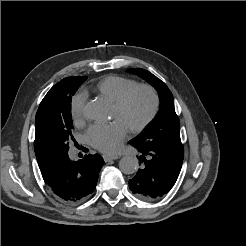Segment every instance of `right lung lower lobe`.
<instances>
[{"instance_id": "1", "label": "right lung lower lobe", "mask_w": 246, "mask_h": 246, "mask_svg": "<svg viewBox=\"0 0 246 246\" xmlns=\"http://www.w3.org/2000/svg\"><path fill=\"white\" fill-rule=\"evenodd\" d=\"M104 161L99 154L72 161L68 154L50 158L40 167L46 185L60 200L78 203L95 190Z\"/></svg>"}]
</instances>
